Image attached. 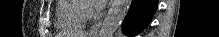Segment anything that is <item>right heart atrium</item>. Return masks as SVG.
Listing matches in <instances>:
<instances>
[{"label":"right heart atrium","instance_id":"d8ad5b80","mask_svg":"<svg viewBox=\"0 0 219 37\" xmlns=\"http://www.w3.org/2000/svg\"><path fill=\"white\" fill-rule=\"evenodd\" d=\"M91 14H92V8L87 6L85 11H84V17L89 18V17H91Z\"/></svg>","mask_w":219,"mask_h":37}]
</instances>
